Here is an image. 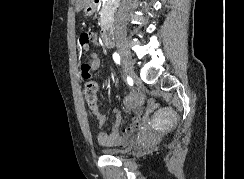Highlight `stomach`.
<instances>
[{
	"label": "stomach",
	"instance_id": "stomach-1",
	"mask_svg": "<svg viewBox=\"0 0 244 179\" xmlns=\"http://www.w3.org/2000/svg\"><path fill=\"white\" fill-rule=\"evenodd\" d=\"M96 8L93 4V2H90V4H86V6H84V12L86 14V16H91V14H93V12H95Z\"/></svg>",
	"mask_w": 244,
	"mask_h": 179
}]
</instances>
